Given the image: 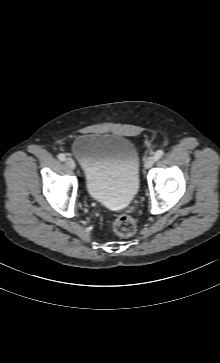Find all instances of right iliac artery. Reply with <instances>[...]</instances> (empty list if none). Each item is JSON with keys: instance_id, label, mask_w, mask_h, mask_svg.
Instances as JSON below:
<instances>
[{"instance_id": "1", "label": "right iliac artery", "mask_w": 220, "mask_h": 363, "mask_svg": "<svg viewBox=\"0 0 220 363\" xmlns=\"http://www.w3.org/2000/svg\"><path fill=\"white\" fill-rule=\"evenodd\" d=\"M58 159L60 160V161H64L65 159H66V157H65V155L64 154H59L58 155Z\"/></svg>"}]
</instances>
